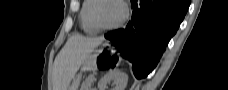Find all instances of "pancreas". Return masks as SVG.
Returning <instances> with one entry per match:
<instances>
[{
    "label": "pancreas",
    "mask_w": 228,
    "mask_h": 90,
    "mask_svg": "<svg viewBox=\"0 0 228 90\" xmlns=\"http://www.w3.org/2000/svg\"><path fill=\"white\" fill-rule=\"evenodd\" d=\"M94 82V76L89 75L81 85V90H92V84Z\"/></svg>",
    "instance_id": "pancreas-1"
}]
</instances>
